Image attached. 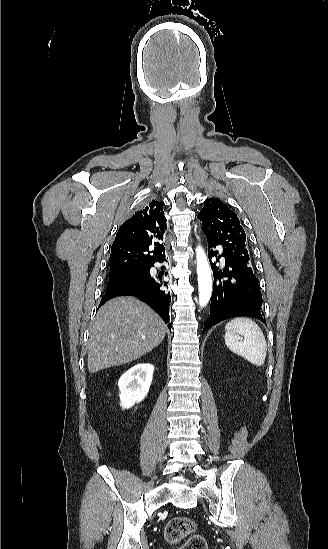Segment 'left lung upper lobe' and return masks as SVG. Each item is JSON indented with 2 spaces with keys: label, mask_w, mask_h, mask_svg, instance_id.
<instances>
[{
  "label": "left lung upper lobe",
  "mask_w": 328,
  "mask_h": 549,
  "mask_svg": "<svg viewBox=\"0 0 328 549\" xmlns=\"http://www.w3.org/2000/svg\"><path fill=\"white\" fill-rule=\"evenodd\" d=\"M197 217L203 223L202 230L210 245H222L226 256L252 269L249 266V254L245 245V231L236 214L228 206L218 198L207 199Z\"/></svg>",
  "instance_id": "obj_1"
}]
</instances>
